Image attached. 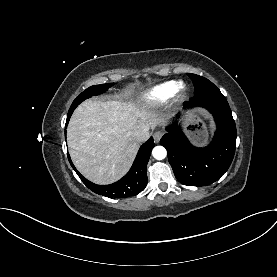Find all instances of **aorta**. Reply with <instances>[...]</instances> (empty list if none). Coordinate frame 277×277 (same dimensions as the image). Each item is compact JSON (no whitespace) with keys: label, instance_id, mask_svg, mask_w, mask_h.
Listing matches in <instances>:
<instances>
[{"label":"aorta","instance_id":"762f6f07","mask_svg":"<svg viewBox=\"0 0 277 277\" xmlns=\"http://www.w3.org/2000/svg\"><path fill=\"white\" fill-rule=\"evenodd\" d=\"M152 155L157 160H162L166 157L167 151L163 146H156L152 150Z\"/></svg>","mask_w":277,"mask_h":277}]
</instances>
